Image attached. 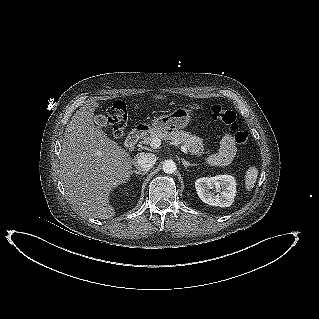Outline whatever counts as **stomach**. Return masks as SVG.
Segmentation results:
<instances>
[{
	"instance_id": "0dacf381",
	"label": "stomach",
	"mask_w": 319,
	"mask_h": 319,
	"mask_svg": "<svg viewBox=\"0 0 319 319\" xmlns=\"http://www.w3.org/2000/svg\"><path fill=\"white\" fill-rule=\"evenodd\" d=\"M192 116L193 108L179 105L169 114L155 118L152 122V128L155 131H178L189 125Z\"/></svg>"
}]
</instances>
